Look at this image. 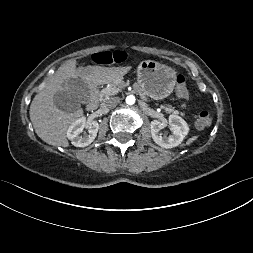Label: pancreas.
<instances>
[{
	"label": "pancreas",
	"instance_id": "obj_1",
	"mask_svg": "<svg viewBox=\"0 0 253 253\" xmlns=\"http://www.w3.org/2000/svg\"><path fill=\"white\" fill-rule=\"evenodd\" d=\"M125 86H126V84L124 82L111 83L109 87H106L100 91V97L103 99H107L110 96L117 94ZM163 109L167 113H172L173 115L180 114L181 116H184V113L179 112L178 110H175L173 107L163 106Z\"/></svg>",
	"mask_w": 253,
	"mask_h": 253
}]
</instances>
